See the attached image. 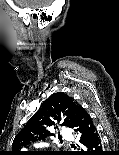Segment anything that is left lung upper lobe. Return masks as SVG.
<instances>
[{
	"label": "left lung upper lobe",
	"mask_w": 119,
	"mask_h": 155,
	"mask_svg": "<svg viewBox=\"0 0 119 155\" xmlns=\"http://www.w3.org/2000/svg\"><path fill=\"white\" fill-rule=\"evenodd\" d=\"M77 106L78 104L63 92L52 94L42 102L39 110L16 135L12 144L11 155H23V152L19 151V149L36 141L43 140L50 135L47 127L55 125L54 120L60 122L61 115L66 116L61 125L73 128ZM42 155L69 154L65 151H52Z\"/></svg>",
	"instance_id": "left-lung-upper-lobe-1"
}]
</instances>
